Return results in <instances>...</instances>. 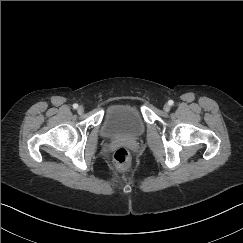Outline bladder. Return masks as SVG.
Masks as SVG:
<instances>
[{
    "label": "bladder",
    "mask_w": 243,
    "mask_h": 243,
    "mask_svg": "<svg viewBox=\"0 0 243 243\" xmlns=\"http://www.w3.org/2000/svg\"><path fill=\"white\" fill-rule=\"evenodd\" d=\"M146 132V123L138 107L113 104L106 108L99 127L102 138L134 140Z\"/></svg>",
    "instance_id": "bladder-1"
}]
</instances>
